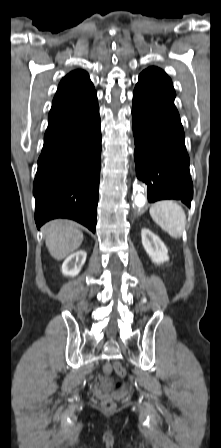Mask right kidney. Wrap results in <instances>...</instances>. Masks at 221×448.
<instances>
[{
    "label": "right kidney",
    "instance_id": "ca27d5eb",
    "mask_svg": "<svg viewBox=\"0 0 221 448\" xmlns=\"http://www.w3.org/2000/svg\"><path fill=\"white\" fill-rule=\"evenodd\" d=\"M86 256L87 253L83 250L68 256L62 264L63 275L72 277L78 275L86 261Z\"/></svg>",
    "mask_w": 221,
    "mask_h": 448
}]
</instances>
